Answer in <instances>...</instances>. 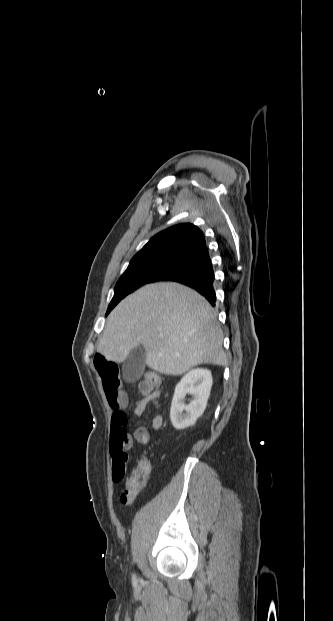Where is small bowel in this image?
<instances>
[{
	"instance_id": "c3829d8e",
	"label": "small bowel",
	"mask_w": 333,
	"mask_h": 621,
	"mask_svg": "<svg viewBox=\"0 0 333 621\" xmlns=\"http://www.w3.org/2000/svg\"><path fill=\"white\" fill-rule=\"evenodd\" d=\"M94 366L101 379L106 400L112 409L109 444L112 469L116 466L126 469L128 452L133 445V440L139 444L148 443L151 435L162 427L163 418L159 414L155 415L151 421L150 429L139 427L131 436L127 431V416L124 412L128 405V397L121 388L117 363L98 353L94 357ZM137 389L142 396L134 407V413L137 416L142 415L149 404H154L156 408H159L160 393L158 390L146 380L138 383Z\"/></svg>"
}]
</instances>
